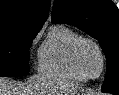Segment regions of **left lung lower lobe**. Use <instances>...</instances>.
I'll use <instances>...</instances> for the list:
<instances>
[{"label":"left lung lower lobe","mask_w":119,"mask_h":95,"mask_svg":"<svg viewBox=\"0 0 119 95\" xmlns=\"http://www.w3.org/2000/svg\"><path fill=\"white\" fill-rule=\"evenodd\" d=\"M104 92H109V93H113L115 95H119V91H108V90H105Z\"/></svg>","instance_id":"left-lung-lower-lobe-1"}]
</instances>
